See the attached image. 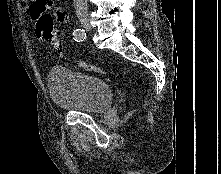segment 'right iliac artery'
Listing matches in <instances>:
<instances>
[{"label":"right iliac artery","instance_id":"obj_1","mask_svg":"<svg viewBox=\"0 0 221 174\" xmlns=\"http://www.w3.org/2000/svg\"><path fill=\"white\" fill-rule=\"evenodd\" d=\"M73 38L77 42H82L86 39V32L81 28H77L73 32Z\"/></svg>","mask_w":221,"mask_h":174}]
</instances>
